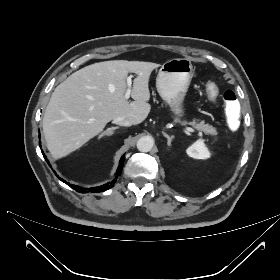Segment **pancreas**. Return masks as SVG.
I'll return each mask as SVG.
<instances>
[{"mask_svg": "<svg viewBox=\"0 0 280 280\" xmlns=\"http://www.w3.org/2000/svg\"><path fill=\"white\" fill-rule=\"evenodd\" d=\"M175 122H180V120L178 118H176ZM190 124L193 127H195L197 130L203 131L207 135H211V136L217 135L216 129L209 124H205L204 121L197 123L195 120H193L192 122H190Z\"/></svg>", "mask_w": 280, "mask_h": 280, "instance_id": "pancreas-1", "label": "pancreas"}]
</instances>
